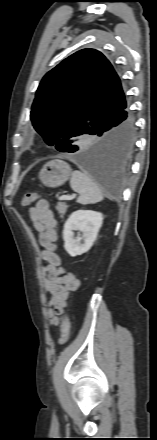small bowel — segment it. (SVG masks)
<instances>
[{
  "mask_svg": "<svg viewBox=\"0 0 157 440\" xmlns=\"http://www.w3.org/2000/svg\"><path fill=\"white\" fill-rule=\"evenodd\" d=\"M28 216L38 232L39 243L42 247L41 256L48 262L43 268L45 278V289L50 295L49 318L52 325L59 323V315L62 308L66 306V300L71 291L79 286V280L62 266L56 254L57 221L53 211L46 200H39L34 207L28 210Z\"/></svg>",
  "mask_w": 157,
  "mask_h": 440,
  "instance_id": "c3829d8e",
  "label": "small bowel"
}]
</instances>
